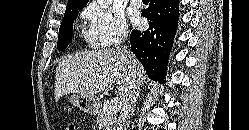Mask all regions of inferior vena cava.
<instances>
[{"label": "inferior vena cava", "instance_id": "1", "mask_svg": "<svg viewBox=\"0 0 249 130\" xmlns=\"http://www.w3.org/2000/svg\"><path fill=\"white\" fill-rule=\"evenodd\" d=\"M126 37V35H124ZM122 52L125 56V61L130 64L132 59L131 52L127 49V47H123ZM132 79L129 84V88L124 96V99L122 101V111L118 118V127L117 130H126L129 118H130V111L131 107L135 101V98L138 93V89L140 87V84L134 74L131 75Z\"/></svg>", "mask_w": 249, "mask_h": 130}]
</instances>
